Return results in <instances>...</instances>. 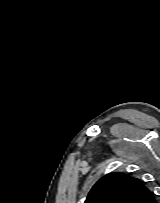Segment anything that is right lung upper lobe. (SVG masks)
<instances>
[{
  "instance_id": "1",
  "label": "right lung upper lobe",
  "mask_w": 160,
  "mask_h": 203,
  "mask_svg": "<svg viewBox=\"0 0 160 203\" xmlns=\"http://www.w3.org/2000/svg\"><path fill=\"white\" fill-rule=\"evenodd\" d=\"M84 203H156V201L139 179L123 173H110L93 186Z\"/></svg>"
}]
</instances>
